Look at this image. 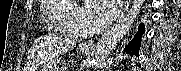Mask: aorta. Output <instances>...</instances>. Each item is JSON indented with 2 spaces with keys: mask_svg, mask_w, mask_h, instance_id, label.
<instances>
[{
  "mask_svg": "<svg viewBox=\"0 0 181 71\" xmlns=\"http://www.w3.org/2000/svg\"><path fill=\"white\" fill-rule=\"evenodd\" d=\"M143 2L144 0H134L130 12L101 37L92 59L94 69L100 70L104 67L110 52L131 29Z\"/></svg>",
  "mask_w": 181,
  "mask_h": 71,
  "instance_id": "obj_1",
  "label": "aorta"
}]
</instances>
